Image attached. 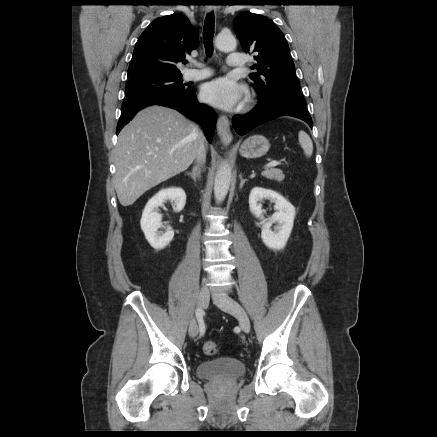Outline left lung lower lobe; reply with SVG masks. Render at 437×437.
Returning <instances> with one entry per match:
<instances>
[{"mask_svg":"<svg viewBox=\"0 0 437 437\" xmlns=\"http://www.w3.org/2000/svg\"><path fill=\"white\" fill-rule=\"evenodd\" d=\"M280 116H292L305 121L312 128V119L304 105L275 101L260 103L248 114L233 117V126L241 136L267 121Z\"/></svg>","mask_w":437,"mask_h":437,"instance_id":"1","label":"left lung lower lobe"}]
</instances>
